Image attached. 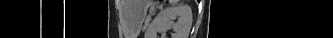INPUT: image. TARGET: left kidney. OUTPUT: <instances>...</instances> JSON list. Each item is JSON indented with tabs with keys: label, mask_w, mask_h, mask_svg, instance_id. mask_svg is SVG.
<instances>
[{
	"label": "left kidney",
	"mask_w": 333,
	"mask_h": 38,
	"mask_svg": "<svg viewBox=\"0 0 333 38\" xmlns=\"http://www.w3.org/2000/svg\"><path fill=\"white\" fill-rule=\"evenodd\" d=\"M177 19V22L174 20ZM192 26V10L186 4H177L161 10L149 27L152 36L173 30L172 38H188Z\"/></svg>",
	"instance_id": "5707ae66"
}]
</instances>
